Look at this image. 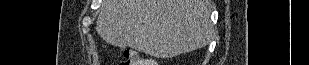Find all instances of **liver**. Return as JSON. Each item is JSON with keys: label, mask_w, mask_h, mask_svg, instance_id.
<instances>
[{"label": "liver", "mask_w": 309, "mask_h": 65, "mask_svg": "<svg viewBox=\"0 0 309 65\" xmlns=\"http://www.w3.org/2000/svg\"><path fill=\"white\" fill-rule=\"evenodd\" d=\"M96 31L108 44L169 58L206 46L209 0H102Z\"/></svg>", "instance_id": "6515ba94"}]
</instances>
